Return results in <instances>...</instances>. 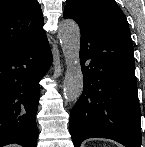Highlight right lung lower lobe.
<instances>
[{
	"mask_svg": "<svg viewBox=\"0 0 145 147\" xmlns=\"http://www.w3.org/2000/svg\"><path fill=\"white\" fill-rule=\"evenodd\" d=\"M51 60L46 34L0 54V147H36L38 82Z\"/></svg>",
	"mask_w": 145,
	"mask_h": 147,
	"instance_id": "obj_1",
	"label": "right lung lower lobe"
}]
</instances>
